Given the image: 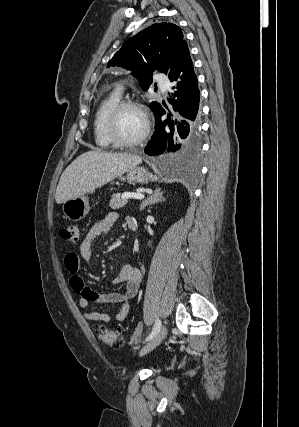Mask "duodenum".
<instances>
[{"mask_svg": "<svg viewBox=\"0 0 299 427\" xmlns=\"http://www.w3.org/2000/svg\"><path fill=\"white\" fill-rule=\"evenodd\" d=\"M127 224L131 230L135 231L137 229V223L134 218L128 217Z\"/></svg>", "mask_w": 299, "mask_h": 427, "instance_id": "1", "label": "duodenum"}]
</instances>
